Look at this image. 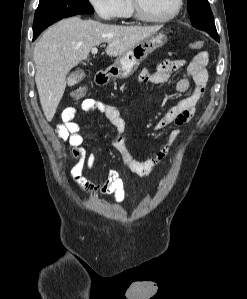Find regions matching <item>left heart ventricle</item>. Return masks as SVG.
I'll use <instances>...</instances> for the list:
<instances>
[{
	"instance_id": "left-heart-ventricle-1",
	"label": "left heart ventricle",
	"mask_w": 247,
	"mask_h": 299,
	"mask_svg": "<svg viewBox=\"0 0 247 299\" xmlns=\"http://www.w3.org/2000/svg\"><path fill=\"white\" fill-rule=\"evenodd\" d=\"M145 13L152 17H165L170 15L177 0H141Z\"/></svg>"
}]
</instances>
